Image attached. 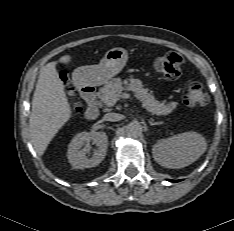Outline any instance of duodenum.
Masks as SVG:
<instances>
[{"mask_svg":"<svg viewBox=\"0 0 234 231\" xmlns=\"http://www.w3.org/2000/svg\"><path fill=\"white\" fill-rule=\"evenodd\" d=\"M76 84L81 96L88 104L85 112L86 118L88 120L96 119L99 115V110L96 104L95 87L81 79H77Z\"/></svg>","mask_w":234,"mask_h":231,"instance_id":"obj_1","label":"duodenum"}]
</instances>
